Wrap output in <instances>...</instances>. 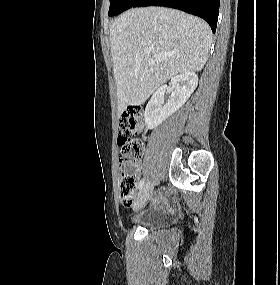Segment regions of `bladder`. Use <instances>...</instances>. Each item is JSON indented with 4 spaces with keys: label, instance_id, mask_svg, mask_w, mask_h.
<instances>
[{
    "label": "bladder",
    "instance_id": "obj_1",
    "mask_svg": "<svg viewBox=\"0 0 280 285\" xmlns=\"http://www.w3.org/2000/svg\"><path fill=\"white\" fill-rule=\"evenodd\" d=\"M169 221V214L158 212L153 209H146L140 213H136L130 219L131 224L146 227L148 229H159Z\"/></svg>",
    "mask_w": 280,
    "mask_h": 285
}]
</instances>
